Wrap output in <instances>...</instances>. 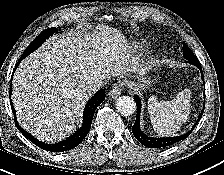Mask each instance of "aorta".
<instances>
[{"label":"aorta","instance_id":"762f6f07","mask_svg":"<svg viewBox=\"0 0 224 175\" xmlns=\"http://www.w3.org/2000/svg\"><path fill=\"white\" fill-rule=\"evenodd\" d=\"M116 108L121 115L129 116L136 111V103L129 96H121L116 101Z\"/></svg>","mask_w":224,"mask_h":175}]
</instances>
